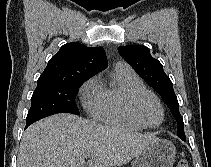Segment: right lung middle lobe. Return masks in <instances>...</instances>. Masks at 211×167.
I'll use <instances>...</instances> for the list:
<instances>
[{
    "mask_svg": "<svg viewBox=\"0 0 211 167\" xmlns=\"http://www.w3.org/2000/svg\"><path fill=\"white\" fill-rule=\"evenodd\" d=\"M87 79L60 84H37L27 114V125L57 113L79 114L75 103L80 86Z\"/></svg>",
    "mask_w": 211,
    "mask_h": 167,
    "instance_id": "1",
    "label": "right lung middle lobe"
}]
</instances>
